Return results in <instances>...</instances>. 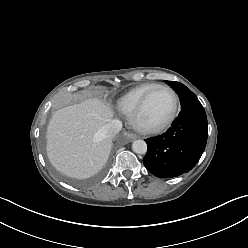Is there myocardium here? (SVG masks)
<instances>
[{"instance_id":"f54148a6","label":"myocardium","mask_w":248,"mask_h":248,"mask_svg":"<svg viewBox=\"0 0 248 248\" xmlns=\"http://www.w3.org/2000/svg\"><path fill=\"white\" fill-rule=\"evenodd\" d=\"M158 88L165 89L171 94V96L173 98V106H172V109H171L169 115L163 121H161L160 123L155 124V125H146V124L141 122L142 112L144 110V107H145V104L147 102L149 95L155 89H158ZM178 104H179L178 96L172 88H170L167 85L156 84L143 95L140 102L138 103L135 111L131 115L132 125L137 131L144 133V134L161 133L164 130H166L167 128H169L171 126V124L173 123V121L175 120L176 115H177V111H178Z\"/></svg>"}]
</instances>
